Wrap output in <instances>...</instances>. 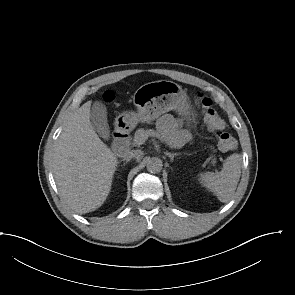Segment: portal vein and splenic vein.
<instances>
[{"label": "portal vein and splenic vein", "instance_id": "1", "mask_svg": "<svg viewBox=\"0 0 295 295\" xmlns=\"http://www.w3.org/2000/svg\"><path fill=\"white\" fill-rule=\"evenodd\" d=\"M149 136H153L156 137L157 139H159L162 143H164V139L160 136L159 133L155 132L154 130H150V132L148 134H143L141 140L143 142H145Z\"/></svg>", "mask_w": 295, "mask_h": 295}]
</instances>
